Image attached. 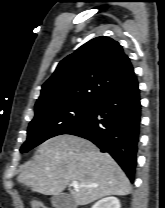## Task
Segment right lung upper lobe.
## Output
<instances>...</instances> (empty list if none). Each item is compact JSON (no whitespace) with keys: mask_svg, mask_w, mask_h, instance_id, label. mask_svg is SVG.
<instances>
[{"mask_svg":"<svg viewBox=\"0 0 165 208\" xmlns=\"http://www.w3.org/2000/svg\"><path fill=\"white\" fill-rule=\"evenodd\" d=\"M130 59L109 37L94 38L64 58L43 84L35 110L69 102H97L134 76Z\"/></svg>","mask_w":165,"mask_h":208,"instance_id":"1","label":"right lung upper lobe"}]
</instances>
